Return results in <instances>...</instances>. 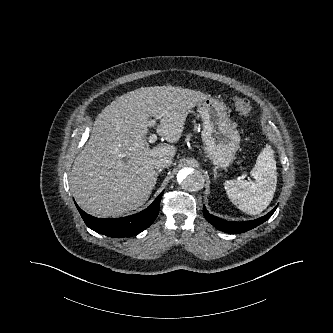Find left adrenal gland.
<instances>
[{
  "label": "left adrenal gland",
  "instance_id": "obj_1",
  "mask_svg": "<svg viewBox=\"0 0 333 333\" xmlns=\"http://www.w3.org/2000/svg\"><path fill=\"white\" fill-rule=\"evenodd\" d=\"M219 177V175L217 174V170L214 169V179H217Z\"/></svg>",
  "mask_w": 333,
  "mask_h": 333
}]
</instances>
